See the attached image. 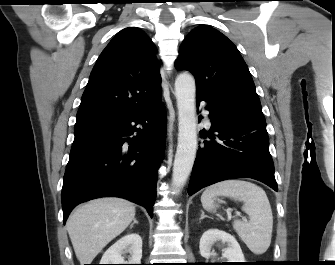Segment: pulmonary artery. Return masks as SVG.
<instances>
[{"label": "pulmonary artery", "instance_id": "pulmonary-artery-1", "mask_svg": "<svg viewBox=\"0 0 335 265\" xmlns=\"http://www.w3.org/2000/svg\"><path fill=\"white\" fill-rule=\"evenodd\" d=\"M203 113L205 115L207 124H210V120H209V117H208V111L204 109Z\"/></svg>", "mask_w": 335, "mask_h": 265}]
</instances>
